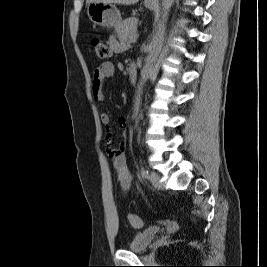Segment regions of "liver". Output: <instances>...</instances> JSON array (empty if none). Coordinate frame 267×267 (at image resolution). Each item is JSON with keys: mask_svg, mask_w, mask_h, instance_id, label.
<instances>
[{"mask_svg": "<svg viewBox=\"0 0 267 267\" xmlns=\"http://www.w3.org/2000/svg\"><path fill=\"white\" fill-rule=\"evenodd\" d=\"M88 3L92 2H103L110 4H121V5H134L139 2V0H87Z\"/></svg>", "mask_w": 267, "mask_h": 267, "instance_id": "liver-1", "label": "liver"}]
</instances>
